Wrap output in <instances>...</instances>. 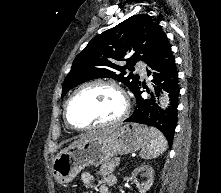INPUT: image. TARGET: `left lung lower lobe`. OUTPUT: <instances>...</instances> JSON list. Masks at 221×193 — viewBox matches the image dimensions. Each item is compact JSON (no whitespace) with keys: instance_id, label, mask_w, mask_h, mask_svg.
Returning <instances> with one entry per match:
<instances>
[{"instance_id":"0a47b994","label":"left lung lower lobe","mask_w":221,"mask_h":193,"mask_svg":"<svg viewBox=\"0 0 221 193\" xmlns=\"http://www.w3.org/2000/svg\"><path fill=\"white\" fill-rule=\"evenodd\" d=\"M150 70L147 74L153 76V89L147 92L148 97H142L139 82L133 91L137 106L133 114L125 122H136L159 129L167 138L171 146L174 138V131L177 125V107L179 96L178 71L175 66V58L172 54L168 40L161 49L152 56L146 63ZM162 89L169 93L170 104L166 110H162L157 105V97Z\"/></svg>"}]
</instances>
